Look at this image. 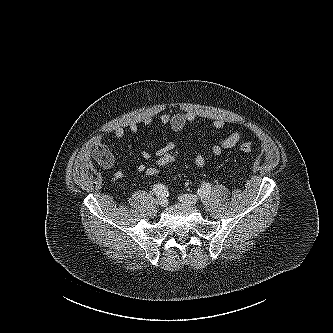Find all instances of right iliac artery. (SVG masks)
Segmentation results:
<instances>
[{
    "instance_id": "right-iliac-artery-1",
    "label": "right iliac artery",
    "mask_w": 333,
    "mask_h": 333,
    "mask_svg": "<svg viewBox=\"0 0 333 333\" xmlns=\"http://www.w3.org/2000/svg\"><path fill=\"white\" fill-rule=\"evenodd\" d=\"M153 190L158 197H167L169 195L168 189L163 184L155 185Z\"/></svg>"
}]
</instances>
